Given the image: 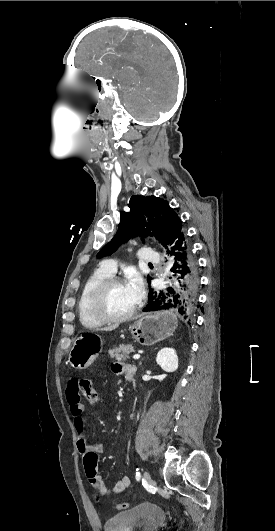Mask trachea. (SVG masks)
Segmentation results:
<instances>
[{"label":"trachea","mask_w":275,"mask_h":531,"mask_svg":"<svg viewBox=\"0 0 275 531\" xmlns=\"http://www.w3.org/2000/svg\"><path fill=\"white\" fill-rule=\"evenodd\" d=\"M148 265H149V267H153L152 263H149Z\"/></svg>","instance_id":"trachea-1"}]
</instances>
